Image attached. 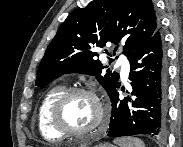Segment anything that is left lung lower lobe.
Returning <instances> with one entry per match:
<instances>
[{
    "label": "left lung lower lobe",
    "mask_w": 183,
    "mask_h": 147,
    "mask_svg": "<svg viewBox=\"0 0 183 147\" xmlns=\"http://www.w3.org/2000/svg\"><path fill=\"white\" fill-rule=\"evenodd\" d=\"M132 92L119 99L116 85L109 97L112 115L108 136H162L166 130L167 67L160 29L129 56Z\"/></svg>",
    "instance_id": "left-lung-lower-lobe-1"
}]
</instances>
